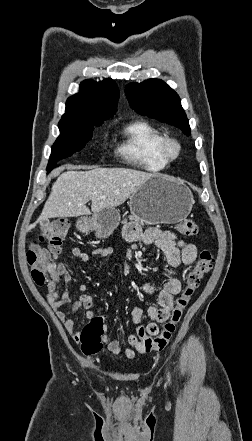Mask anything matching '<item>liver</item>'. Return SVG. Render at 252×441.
I'll return each instance as SVG.
<instances>
[{"label": "liver", "mask_w": 252, "mask_h": 441, "mask_svg": "<svg viewBox=\"0 0 252 441\" xmlns=\"http://www.w3.org/2000/svg\"><path fill=\"white\" fill-rule=\"evenodd\" d=\"M154 174L128 168H94L67 171L53 183L51 193L36 223L49 218L95 214L123 204ZM103 196L104 198H101ZM91 201V211L86 203Z\"/></svg>", "instance_id": "liver-1"}]
</instances>
